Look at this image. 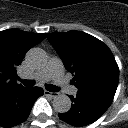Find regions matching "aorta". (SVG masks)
Returning a JSON list of instances; mask_svg holds the SVG:
<instances>
[{"label":"aorta","mask_w":128,"mask_h":128,"mask_svg":"<svg viewBox=\"0 0 128 128\" xmlns=\"http://www.w3.org/2000/svg\"><path fill=\"white\" fill-rule=\"evenodd\" d=\"M27 61L33 66H41L45 62L44 51L40 48H33L26 55ZM53 108L58 113H66L71 108V100L65 94L56 95L53 99Z\"/></svg>","instance_id":"obj_1"}]
</instances>
